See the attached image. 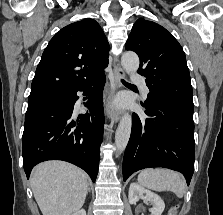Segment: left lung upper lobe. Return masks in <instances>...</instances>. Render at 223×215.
Returning <instances> with one entry per match:
<instances>
[{"mask_svg":"<svg viewBox=\"0 0 223 215\" xmlns=\"http://www.w3.org/2000/svg\"><path fill=\"white\" fill-rule=\"evenodd\" d=\"M126 49L138 54V73L146 77L151 94L194 106L185 53L169 31L140 18L133 25Z\"/></svg>","mask_w":223,"mask_h":215,"instance_id":"1","label":"left lung upper lobe"}]
</instances>
